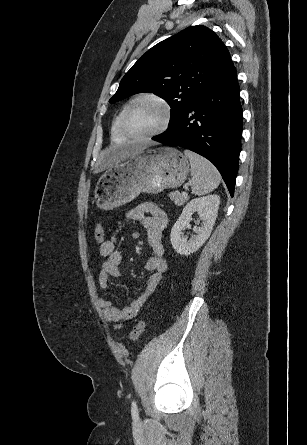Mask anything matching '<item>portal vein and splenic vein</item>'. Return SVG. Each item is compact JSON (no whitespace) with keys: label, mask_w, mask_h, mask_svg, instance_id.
I'll use <instances>...</instances> for the list:
<instances>
[{"label":"portal vein and splenic vein","mask_w":307,"mask_h":445,"mask_svg":"<svg viewBox=\"0 0 307 445\" xmlns=\"http://www.w3.org/2000/svg\"><path fill=\"white\" fill-rule=\"evenodd\" d=\"M183 188H188L187 184H185V186H183ZM183 194H186V192H183Z\"/></svg>","instance_id":"obj_1"}]
</instances>
